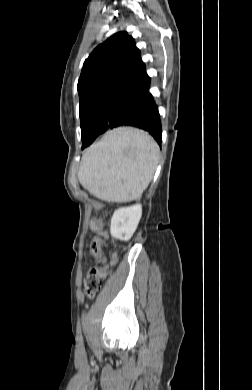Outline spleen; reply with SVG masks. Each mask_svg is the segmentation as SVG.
I'll return each instance as SVG.
<instances>
[{
    "label": "spleen",
    "instance_id": "obj_1",
    "mask_svg": "<svg viewBox=\"0 0 252 390\" xmlns=\"http://www.w3.org/2000/svg\"><path fill=\"white\" fill-rule=\"evenodd\" d=\"M158 157L159 147L147 133L120 128L106 134L85 152L78 179L101 200H136L148 187Z\"/></svg>",
    "mask_w": 252,
    "mask_h": 390
}]
</instances>
